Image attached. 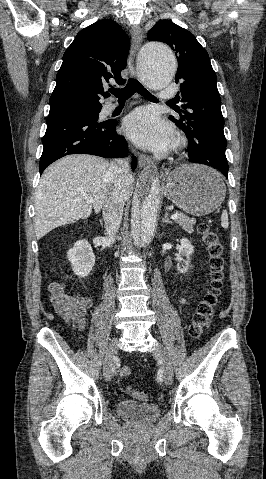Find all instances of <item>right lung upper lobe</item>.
Returning <instances> with one entry per match:
<instances>
[{
    "label": "right lung upper lobe",
    "instance_id": "cb5924a9",
    "mask_svg": "<svg viewBox=\"0 0 266 479\" xmlns=\"http://www.w3.org/2000/svg\"><path fill=\"white\" fill-rule=\"evenodd\" d=\"M130 48L128 35L111 19H102L82 29L63 55L50 97V112L102 107L100 96H108L103 86L114 78L124 84Z\"/></svg>",
    "mask_w": 266,
    "mask_h": 479
}]
</instances>
